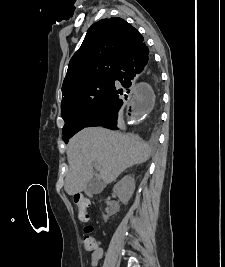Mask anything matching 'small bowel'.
Returning a JSON list of instances; mask_svg holds the SVG:
<instances>
[{"mask_svg":"<svg viewBox=\"0 0 225 267\" xmlns=\"http://www.w3.org/2000/svg\"><path fill=\"white\" fill-rule=\"evenodd\" d=\"M103 251L102 249L96 245L95 248L92 250V261L99 259L102 257Z\"/></svg>","mask_w":225,"mask_h":267,"instance_id":"small-bowel-1","label":"small bowel"}]
</instances>
